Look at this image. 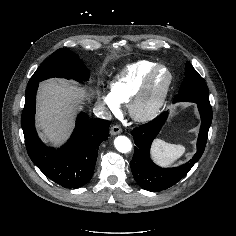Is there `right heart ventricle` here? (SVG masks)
Instances as JSON below:
<instances>
[{
	"mask_svg": "<svg viewBox=\"0 0 236 236\" xmlns=\"http://www.w3.org/2000/svg\"><path fill=\"white\" fill-rule=\"evenodd\" d=\"M157 65V63L148 60L128 65L110 85V93L118 104L129 103L146 75Z\"/></svg>",
	"mask_w": 236,
	"mask_h": 236,
	"instance_id": "right-heart-ventricle-1",
	"label": "right heart ventricle"
}]
</instances>
